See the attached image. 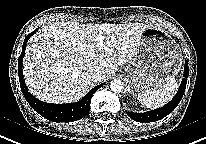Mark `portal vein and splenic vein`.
Instances as JSON below:
<instances>
[{
	"mask_svg": "<svg viewBox=\"0 0 206 144\" xmlns=\"http://www.w3.org/2000/svg\"><path fill=\"white\" fill-rule=\"evenodd\" d=\"M95 41L97 43V46L100 47V48L104 45L103 44V36L102 35H97L95 37Z\"/></svg>",
	"mask_w": 206,
	"mask_h": 144,
	"instance_id": "1",
	"label": "portal vein and splenic vein"
}]
</instances>
